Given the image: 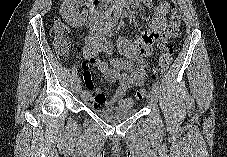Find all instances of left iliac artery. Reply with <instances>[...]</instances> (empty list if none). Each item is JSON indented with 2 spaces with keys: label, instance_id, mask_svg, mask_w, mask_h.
<instances>
[{
  "label": "left iliac artery",
  "instance_id": "left-iliac-artery-1",
  "mask_svg": "<svg viewBox=\"0 0 227 157\" xmlns=\"http://www.w3.org/2000/svg\"><path fill=\"white\" fill-rule=\"evenodd\" d=\"M152 89H153L154 91L158 92L159 87H158L157 84H153V85H152Z\"/></svg>",
  "mask_w": 227,
  "mask_h": 157
}]
</instances>
